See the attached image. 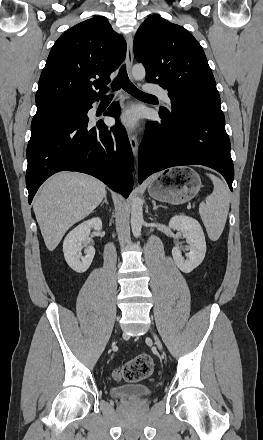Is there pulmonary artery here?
Listing matches in <instances>:
<instances>
[{
	"label": "pulmonary artery",
	"mask_w": 263,
	"mask_h": 440,
	"mask_svg": "<svg viewBox=\"0 0 263 440\" xmlns=\"http://www.w3.org/2000/svg\"><path fill=\"white\" fill-rule=\"evenodd\" d=\"M145 90L149 93L156 94L163 99L164 102L170 105L171 99L166 90L161 87H148Z\"/></svg>",
	"instance_id": "obj_1"
}]
</instances>
